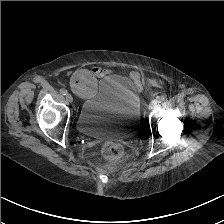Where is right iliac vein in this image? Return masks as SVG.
Listing matches in <instances>:
<instances>
[{
  "label": "right iliac vein",
  "instance_id": "1",
  "mask_svg": "<svg viewBox=\"0 0 224 224\" xmlns=\"http://www.w3.org/2000/svg\"><path fill=\"white\" fill-rule=\"evenodd\" d=\"M66 100L71 103L73 101L72 95L71 94H66Z\"/></svg>",
  "mask_w": 224,
  "mask_h": 224
}]
</instances>
